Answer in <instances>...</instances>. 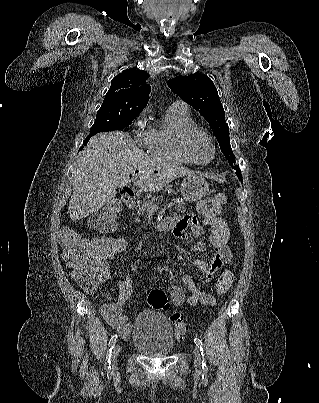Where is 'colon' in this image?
I'll list each match as a JSON object with an SVG mask.
<instances>
[{"instance_id": "colon-1", "label": "colon", "mask_w": 319, "mask_h": 403, "mask_svg": "<svg viewBox=\"0 0 319 403\" xmlns=\"http://www.w3.org/2000/svg\"><path fill=\"white\" fill-rule=\"evenodd\" d=\"M225 196L221 193L208 198L202 206V214L209 221L210 247H227V243H233L232 221L228 218H218L225 203ZM123 201H112L111 208L105 212L90 218L92 228L102 234H89L85 241L75 231L66 229L62 232V245L66 257L75 263L74 279L86 291L94 292L98 285V275L93 264L100 258H124L125 250L129 248V241L124 234H110L117 229L116 217L118 210H123ZM234 281L231 271H224L216 284L217 293L225 294ZM148 303L157 310L169 308V300L161 289L152 290L148 295ZM174 334L182 339L187 331V325L180 313L173 312L170 315Z\"/></svg>"}]
</instances>
